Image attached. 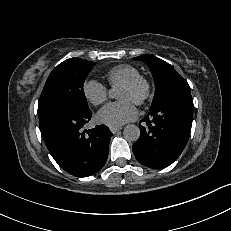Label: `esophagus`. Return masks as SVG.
<instances>
[{
    "mask_svg": "<svg viewBox=\"0 0 231 231\" xmlns=\"http://www.w3.org/2000/svg\"><path fill=\"white\" fill-rule=\"evenodd\" d=\"M122 129V127H117V128H110L111 132L113 134H116L117 132H119Z\"/></svg>",
    "mask_w": 231,
    "mask_h": 231,
    "instance_id": "1",
    "label": "esophagus"
}]
</instances>
